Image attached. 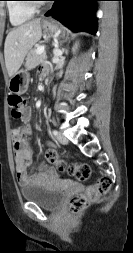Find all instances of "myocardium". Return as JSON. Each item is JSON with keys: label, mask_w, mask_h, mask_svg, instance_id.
<instances>
[{"label": "myocardium", "mask_w": 133, "mask_h": 253, "mask_svg": "<svg viewBox=\"0 0 133 253\" xmlns=\"http://www.w3.org/2000/svg\"><path fill=\"white\" fill-rule=\"evenodd\" d=\"M26 5L30 8V9H32V10H36V9H38L41 5L40 4H38V3H35V2H29V3H26Z\"/></svg>", "instance_id": "obj_1"}]
</instances>
